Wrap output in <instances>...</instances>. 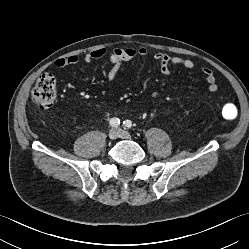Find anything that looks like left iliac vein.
Wrapping results in <instances>:
<instances>
[{
  "instance_id": "left-iliac-vein-1",
  "label": "left iliac vein",
  "mask_w": 249,
  "mask_h": 249,
  "mask_svg": "<svg viewBox=\"0 0 249 249\" xmlns=\"http://www.w3.org/2000/svg\"><path fill=\"white\" fill-rule=\"evenodd\" d=\"M118 131H119L118 136H119L120 138H124V139H130V138H131V135H130L129 132L124 131V130H122V129H118Z\"/></svg>"
}]
</instances>
